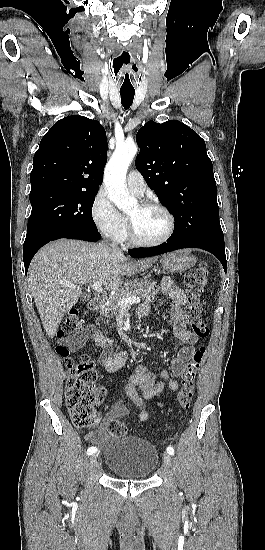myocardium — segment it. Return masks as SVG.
I'll return each instance as SVG.
<instances>
[{
	"instance_id": "myocardium-1",
	"label": "myocardium",
	"mask_w": 265,
	"mask_h": 550,
	"mask_svg": "<svg viewBox=\"0 0 265 550\" xmlns=\"http://www.w3.org/2000/svg\"><path fill=\"white\" fill-rule=\"evenodd\" d=\"M139 206L142 209L160 210L168 220V228L166 233L160 239L153 240V241L142 240L137 236L134 223L132 219L128 216L127 217L128 235L132 244L139 247H156L166 243L172 237L175 230L174 215L171 213V211L167 207H165L164 205L156 201H141L139 203Z\"/></svg>"
}]
</instances>
